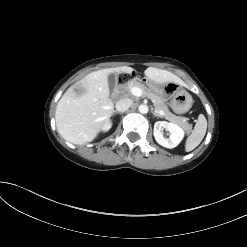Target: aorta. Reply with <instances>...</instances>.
Listing matches in <instances>:
<instances>
[{
    "label": "aorta",
    "instance_id": "762f6f07",
    "mask_svg": "<svg viewBox=\"0 0 247 247\" xmlns=\"http://www.w3.org/2000/svg\"><path fill=\"white\" fill-rule=\"evenodd\" d=\"M138 110H139L140 113L146 114V113H148L149 108H148L147 105L141 104V105L139 106Z\"/></svg>",
    "mask_w": 247,
    "mask_h": 247
}]
</instances>
